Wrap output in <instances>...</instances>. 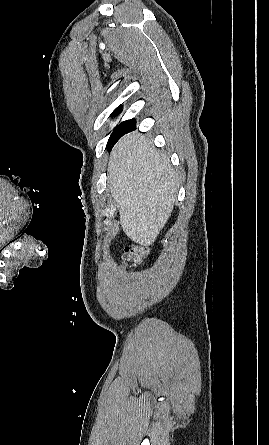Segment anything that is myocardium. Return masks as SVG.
<instances>
[{"instance_id":"myocardium-1","label":"myocardium","mask_w":269,"mask_h":445,"mask_svg":"<svg viewBox=\"0 0 269 445\" xmlns=\"http://www.w3.org/2000/svg\"><path fill=\"white\" fill-rule=\"evenodd\" d=\"M8 239H9V238L0 240V245H1L2 243H4L5 241H7Z\"/></svg>"}]
</instances>
